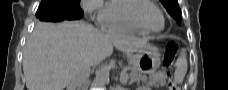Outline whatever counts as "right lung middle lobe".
<instances>
[{
    "mask_svg": "<svg viewBox=\"0 0 228 90\" xmlns=\"http://www.w3.org/2000/svg\"><path fill=\"white\" fill-rule=\"evenodd\" d=\"M41 3H51L70 17H77L82 14L80 0H42Z\"/></svg>",
    "mask_w": 228,
    "mask_h": 90,
    "instance_id": "dd1d6c3e",
    "label": "right lung middle lobe"
}]
</instances>
